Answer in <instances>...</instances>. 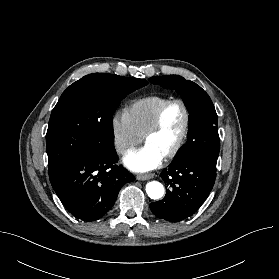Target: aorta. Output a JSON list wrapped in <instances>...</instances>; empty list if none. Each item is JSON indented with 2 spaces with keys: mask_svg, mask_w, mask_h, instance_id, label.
<instances>
[{
  "mask_svg": "<svg viewBox=\"0 0 279 279\" xmlns=\"http://www.w3.org/2000/svg\"><path fill=\"white\" fill-rule=\"evenodd\" d=\"M146 193L151 199L157 200L163 197L164 187L158 181H151L146 184Z\"/></svg>",
  "mask_w": 279,
  "mask_h": 279,
  "instance_id": "aorta-1",
  "label": "aorta"
}]
</instances>
